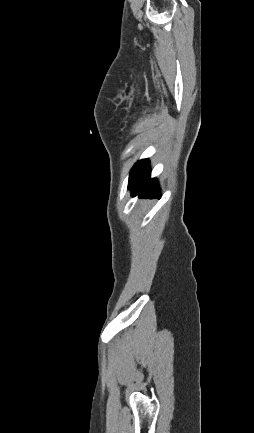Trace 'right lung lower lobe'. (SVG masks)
Instances as JSON below:
<instances>
[{"label":"right lung lower lobe","mask_w":254,"mask_h":433,"mask_svg":"<svg viewBox=\"0 0 254 433\" xmlns=\"http://www.w3.org/2000/svg\"><path fill=\"white\" fill-rule=\"evenodd\" d=\"M150 165L148 159L137 162L131 170L129 185L133 196L140 194L141 197H159V187L155 179H150Z\"/></svg>","instance_id":"obj_1"}]
</instances>
